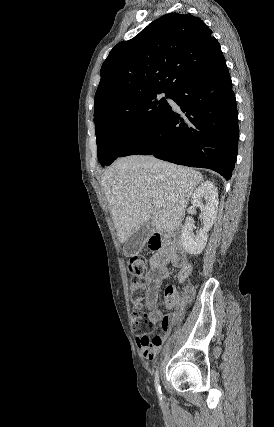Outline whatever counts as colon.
<instances>
[{"mask_svg":"<svg viewBox=\"0 0 274 427\" xmlns=\"http://www.w3.org/2000/svg\"><path fill=\"white\" fill-rule=\"evenodd\" d=\"M139 261L137 256H132L129 260V266H132L135 264L134 269L137 272H140L142 270L148 269L147 263H137ZM137 263V264H136ZM130 288L132 291V302L137 307L134 311L131 313V318L133 322V327L135 332L142 333L144 335H147V338L151 339V357H152V332L155 328V323L153 320L145 313H143L140 310V306L143 300V295L141 293H137L138 288V280L133 279L130 282ZM165 297L170 300L174 296V289L172 286L168 285L165 287L164 290Z\"/></svg>","mask_w":274,"mask_h":427,"instance_id":"1","label":"colon"}]
</instances>
